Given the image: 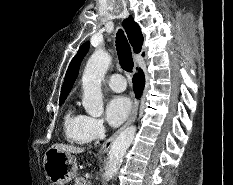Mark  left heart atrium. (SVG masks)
Returning a JSON list of instances; mask_svg holds the SVG:
<instances>
[{
    "label": "left heart atrium",
    "instance_id": "obj_1",
    "mask_svg": "<svg viewBox=\"0 0 233 185\" xmlns=\"http://www.w3.org/2000/svg\"><path fill=\"white\" fill-rule=\"evenodd\" d=\"M130 110L131 103L127 97L114 96L107 103L106 120L111 126H118L128 117Z\"/></svg>",
    "mask_w": 233,
    "mask_h": 185
}]
</instances>
